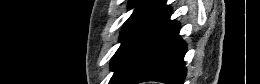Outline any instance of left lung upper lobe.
<instances>
[{"mask_svg": "<svg viewBox=\"0 0 260 84\" xmlns=\"http://www.w3.org/2000/svg\"><path fill=\"white\" fill-rule=\"evenodd\" d=\"M161 1L162 0H131L129 2V8L136 7V9L122 28L120 35L121 46L112 57L111 67H113L117 56L126 45L128 40Z\"/></svg>", "mask_w": 260, "mask_h": 84, "instance_id": "1", "label": "left lung upper lobe"}]
</instances>
